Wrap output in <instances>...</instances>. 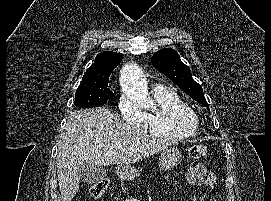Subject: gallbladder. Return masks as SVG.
Listing matches in <instances>:
<instances>
[{
    "instance_id": "1",
    "label": "gallbladder",
    "mask_w": 271,
    "mask_h": 201,
    "mask_svg": "<svg viewBox=\"0 0 271 201\" xmlns=\"http://www.w3.org/2000/svg\"><path fill=\"white\" fill-rule=\"evenodd\" d=\"M106 175L107 171L103 166L83 164L77 168V176L79 180L87 184L100 182Z\"/></svg>"
}]
</instances>
